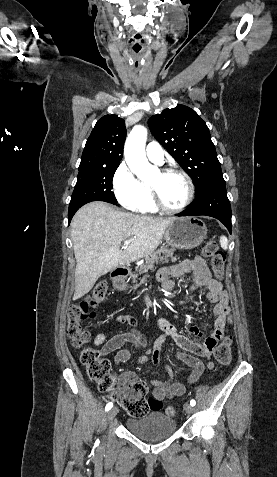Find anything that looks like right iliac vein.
<instances>
[{
	"mask_svg": "<svg viewBox=\"0 0 277 477\" xmlns=\"http://www.w3.org/2000/svg\"><path fill=\"white\" fill-rule=\"evenodd\" d=\"M117 413H118V409H117V408L111 409V410L108 412V414H107V420H108L109 422H111V421L115 418V416L117 415Z\"/></svg>",
	"mask_w": 277,
	"mask_h": 477,
	"instance_id": "1",
	"label": "right iliac vein"
}]
</instances>
